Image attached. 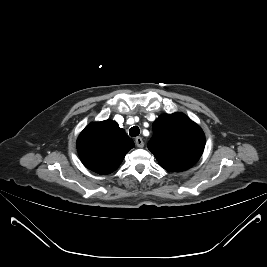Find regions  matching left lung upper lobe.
Segmentation results:
<instances>
[{
  "instance_id": "obj_1",
  "label": "left lung upper lobe",
  "mask_w": 267,
  "mask_h": 267,
  "mask_svg": "<svg viewBox=\"0 0 267 267\" xmlns=\"http://www.w3.org/2000/svg\"><path fill=\"white\" fill-rule=\"evenodd\" d=\"M148 149L166 170L179 172L191 168L205 145L201 128L182 113L163 114L153 125Z\"/></svg>"
}]
</instances>
